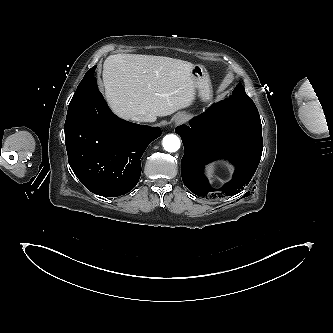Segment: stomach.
Returning a JSON list of instances; mask_svg holds the SVG:
<instances>
[{
	"instance_id": "1",
	"label": "stomach",
	"mask_w": 333,
	"mask_h": 333,
	"mask_svg": "<svg viewBox=\"0 0 333 333\" xmlns=\"http://www.w3.org/2000/svg\"><path fill=\"white\" fill-rule=\"evenodd\" d=\"M191 74L196 82L200 98L204 102L210 101L212 88L206 68L203 65H194Z\"/></svg>"
}]
</instances>
